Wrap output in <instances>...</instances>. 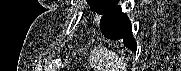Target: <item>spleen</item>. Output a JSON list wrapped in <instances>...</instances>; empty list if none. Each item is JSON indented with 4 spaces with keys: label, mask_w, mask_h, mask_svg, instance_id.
I'll list each match as a JSON object with an SVG mask.
<instances>
[{
    "label": "spleen",
    "mask_w": 181,
    "mask_h": 71,
    "mask_svg": "<svg viewBox=\"0 0 181 71\" xmlns=\"http://www.w3.org/2000/svg\"><path fill=\"white\" fill-rule=\"evenodd\" d=\"M90 64L96 71H126L123 59L105 47L93 50Z\"/></svg>",
    "instance_id": "3e777b00"
}]
</instances>
